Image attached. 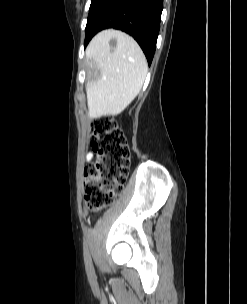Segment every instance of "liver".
<instances>
[{
	"mask_svg": "<svg viewBox=\"0 0 247 304\" xmlns=\"http://www.w3.org/2000/svg\"><path fill=\"white\" fill-rule=\"evenodd\" d=\"M116 39V47L109 42ZM92 79L86 86L88 115H118L140 92L147 73L146 58L137 42L118 30L98 33L86 49Z\"/></svg>",
	"mask_w": 247,
	"mask_h": 304,
	"instance_id": "liver-1",
	"label": "liver"
}]
</instances>
